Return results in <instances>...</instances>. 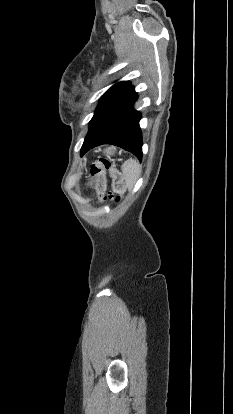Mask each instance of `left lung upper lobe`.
<instances>
[{
    "instance_id": "1",
    "label": "left lung upper lobe",
    "mask_w": 233,
    "mask_h": 414,
    "mask_svg": "<svg viewBox=\"0 0 233 414\" xmlns=\"http://www.w3.org/2000/svg\"><path fill=\"white\" fill-rule=\"evenodd\" d=\"M130 83L129 82H127V81H123V82H118V83H116L115 85H113L104 95H103V97L104 96H107V95H110V94H114V93H116V92H119V91H122V90H124V89H126V88H128V87H130Z\"/></svg>"
}]
</instances>
